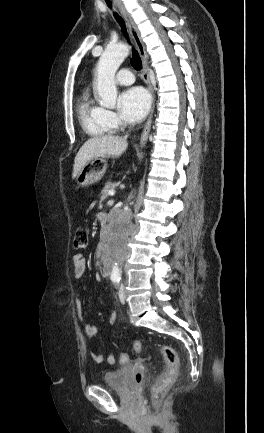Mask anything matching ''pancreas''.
<instances>
[{
    "mask_svg": "<svg viewBox=\"0 0 264 433\" xmlns=\"http://www.w3.org/2000/svg\"><path fill=\"white\" fill-rule=\"evenodd\" d=\"M114 184L112 183V182H110V181H108L106 184H105V187H104V189L101 191V197H100V200L101 201H104L107 197H108V195H109V191H111V190H114Z\"/></svg>",
    "mask_w": 264,
    "mask_h": 433,
    "instance_id": "1",
    "label": "pancreas"
}]
</instances>
